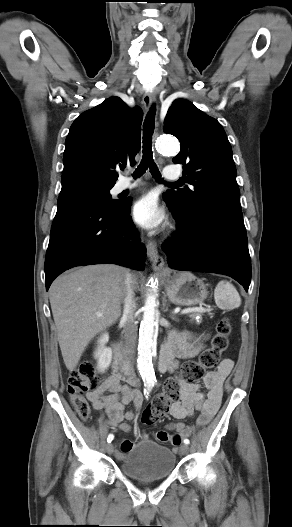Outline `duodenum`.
Returning <instances> with one entry per match:
<instances>
[{"mask_svg": "<svg viewBox=\"0 0 292 527\" xmlns=\"http://www.w3.org/2000/svg\"><path fill=\"white\" fill-rule=\"evenodd\" d=\"M169 356L165 348L161 351L159 367L160 370L165 371L168 368ZM113 369L114 373L122 378L123 381L130 385H135L137 380L132 374L128 361L120 347L117 344L113 345Z\"/></svg>", "mask_w": 292, "mask_h": 527, "instance_id": "obj_1", "label": "duodenum"}]
</instances>
